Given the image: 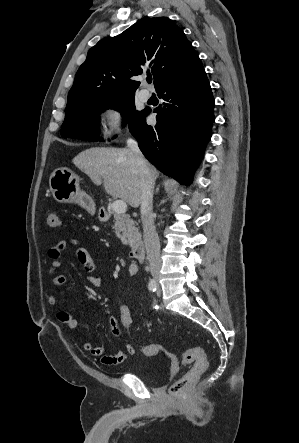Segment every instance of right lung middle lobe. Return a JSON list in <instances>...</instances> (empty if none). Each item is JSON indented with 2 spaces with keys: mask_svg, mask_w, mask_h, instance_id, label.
<instances>
[{
  "mask_svg": "<svg viewBox=\"0 0 299 443\" xmlns=\"http://www.w3.org/2000/svg\"><path fill=\"white\" fill-rule=\"evenodd\" d=\"M134 97V94H128L67 107L61 135L65 138L98 141L99 114L106 109L113 108L121 112L125 123H127L140 113L134 111Z\"/></svg>",
  "mask_w": 299,
  "mask_h": 443,
  "instance_id": "obj_1",
  "label": "right lung middle lobe"
}]
</instances>
